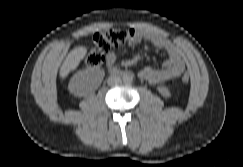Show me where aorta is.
<instances>
[{"label": "aorta", "instance_id": "aorta-1", "mask_svg": "<svg viewBox=\"0 0 243 167\" xmlns=\"http://www.w3.org/2000/svg\"><path fill=\"white\" fill-rule=\"evenodd\" d=\"M124 83H131L133 81V75L130 73H125L122 77Z\"/></svg>", "mask_w": 243, "mask_h": 167}]
</instances>
